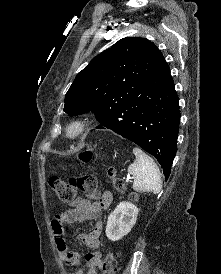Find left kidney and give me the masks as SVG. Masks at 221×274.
I'll list each match as a JSON object with an SVG mask.
<instances>
[{
  "label": "left kidney",
  "instance_id": "obj_1",
  "mask_svg": "<svg viewBox=\"0 0 221 274\" xmlns=\"http://www.w3.org/2000/svg\"><path fill=\"white\" fill-rule=\"evenodd\" d=\"M139 209L130 202H120L108 216L106 236L118 241L127 235L136 223Z\"/></svg>",
  "mask_w": 221,
  "mask_h": 274
}]
</instances>
